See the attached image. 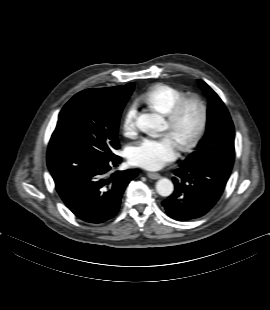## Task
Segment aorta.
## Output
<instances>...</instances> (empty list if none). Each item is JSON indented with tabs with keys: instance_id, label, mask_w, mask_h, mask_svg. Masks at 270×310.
<instances>
[{
	"instance_id": "1",
	"label": "aorta",
	"mask_w": 270,
	"mask_h": 310,
	"mask_svg": "<svg viewBox=\"0 0 270 310\" xmlns=\"http://www.w3.org/2000/svg\"><path fill=\"white\" fill-rule=\"evenodd\" d=\"M138 125L143 129L154 131L164 130V119L162 116L155 113L141 114L137 120ZM174 186L171 180L162 178L156 183V191L163 197L170 196L173 193Z\"/></svg>"
}]
</instances>
